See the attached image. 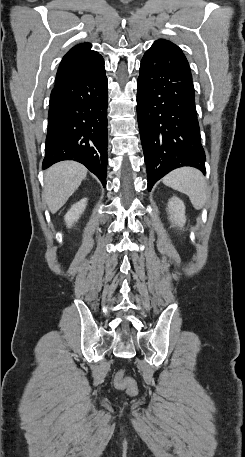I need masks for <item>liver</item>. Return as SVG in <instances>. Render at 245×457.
<instances>
[{
	"mask_svg": "<svg viewBox=\"0 0 245 457\" xmlns=\"http://www.w3.org/2000/svg\"><path fill=\"white\" fill-rule=\"evenodd\" d=\"M86 174L87 168L75 160H62L46 170L42 196L50 212H57L65 204Z\"/></svg>",
	"mask_w": 245,
	"mask_h": 457,
	"instance_id": "1",
	"label": "liver"
}]
</instances>
